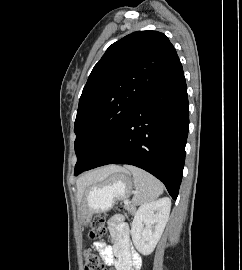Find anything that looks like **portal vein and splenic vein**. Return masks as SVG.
<instances>
[{
  "mask_svg": "<svg viewBox=\"0 0 242 270\" xmlns=\"http://www.w3.org/2000/svg\"><path fill=\"white\" fill-rule=\"evenodd\" d=\"M124 202H125V204H128V203H129V200H128V199H126Z\"/></svg>",
  "mask_w": 242,
  "mask_h": 270,
  "instance_id": "obj_1",
  "label": "portal vein and splenic vein"
}]
</instances>
